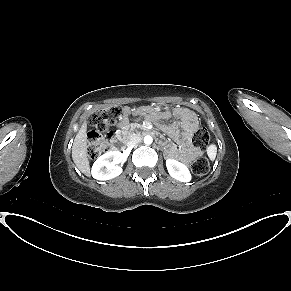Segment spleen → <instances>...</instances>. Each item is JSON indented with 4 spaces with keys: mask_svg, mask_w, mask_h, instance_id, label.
I'll use <instances>...</instances> for the list:
<instances>
[{
    "mask_svg": "<svg viewBox=\"0 0 291 291\" xmlns=\"http://www.w3.org/2000/svg\"><path fill=\"white\" fill-rule=\"evenodd\" d=\"M207 154L209 158L213 161L216 158L217 154V147L216 145L212 144L207 148Z\"/></svg>",
    "mask_w": 291,
    "mask_h": 291,
    "instance_id": "3e777b00",
    "label": "spleen"
}]
</instances>
